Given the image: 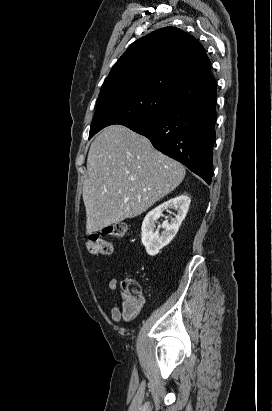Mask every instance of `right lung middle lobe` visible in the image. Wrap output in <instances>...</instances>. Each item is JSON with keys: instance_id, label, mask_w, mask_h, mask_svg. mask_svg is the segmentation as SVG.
<instances>
[{"instance_id": "1", "label": "right lung middle lobe", "mask_w": 272, "mask_h": 411, "mask_svg": "<svg viewBox=\"0 0 272 411\" xmlns=\"http://www.w3.org/2000/svg\"><path fill=\"white\" fill-rule=\"evenodd\" d=\"M89 139L102 128L121 124L129 126L175 107L176 99L146 88L110 91L99 94Z\"/></svg>"}]
</instances>
